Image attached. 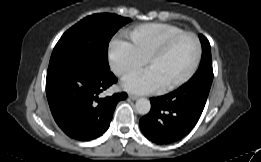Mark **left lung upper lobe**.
Masks as SVG:
<instances>
[{
  "mask_svg": "<svg viewBox=\"0 0 261 162\" xmlns=\"http://www.w3.org/2000/svg\"><path fill=\"white\" fill-rule=\"evenodd\" d=\"M202 44V58L198 71L190 79V81L197 79L213 80L212 58L210 43L202 34L199 35Z\"/></svg>",
  "mask_w": 261,
  "mask_h": 162,
  "instance_id": "5c2ea615",
  "label": "left lung upper lobe"
}]
</instances>
